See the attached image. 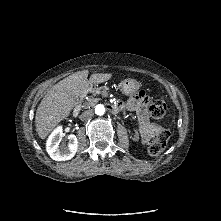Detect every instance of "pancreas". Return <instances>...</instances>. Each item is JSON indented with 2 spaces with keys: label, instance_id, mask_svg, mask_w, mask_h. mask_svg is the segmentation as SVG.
<instances>
[{
  "label": "pancreas",
  "instance_id": "1",
  "mask_svg": "<svg viewBox=\"0 0 221 221\" xmlns=\"http://www.w3.org/2000/svg\"><path fill=\"white\" fill-rule=\"evenodd\" d=\"M98 101V97L96 95H93L92 97H90L88 99V102H87V106H93L94 103H96Z\"/></svg>",
  "mask_w": 221,
  "mask_h": 221
}]
</instances>
